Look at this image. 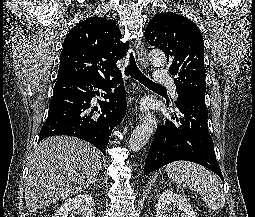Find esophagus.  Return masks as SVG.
I'll return each instance as SVG.
<instances>
[{
  "instance_id": "obj_1",
  "label": "esophagus",
  "mask_w": 255,
  "mask_h": 217,
  "mask_svg": "<svg viewBox=\"0 0 255 217\" xmlns=\"http://www.w3.org/2000/svg\"><path fill=\"white\" fill-rule=\"evenodd\" d=\"M134 47H135V50H136V53L138 56V60L141 64V66L144 68H148L149 62H148L147 52H146L143 42L140 39H136L135 43H134ZM139 119H140V121H143V122L150 121L156 125V118L151 113H141L139 115Z\"/></svg>"
}]
</instances>
